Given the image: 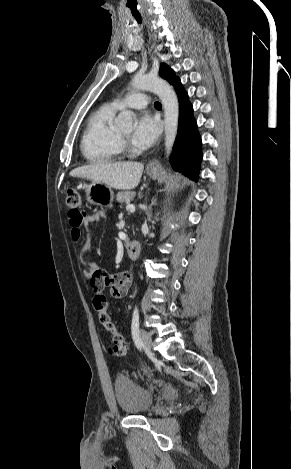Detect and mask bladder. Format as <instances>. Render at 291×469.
<instances>
[{"label": "bladder", "instance_id": "bladder-1", "mask_svg": "<svg viewBox=\"0 0 291 469\" xmlns=\"http://www.w3.org/2000/svg\"><path fill=\"white\" fill-rule=\"evenodd\" d=\"M114 393L120 410L129 415L148 411L154 402L153 394L149 390L123 375L115 378Z\"/></svg>", "mask_w": 291, "mask_h": 469}]
</instances>
